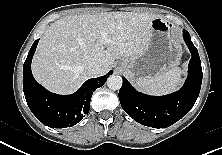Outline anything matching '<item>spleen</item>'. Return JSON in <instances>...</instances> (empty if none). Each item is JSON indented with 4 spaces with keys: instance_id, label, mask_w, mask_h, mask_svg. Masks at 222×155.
<instances>
[{
    "instance_id": "obj_1",
    "label": "spleen",
    "mask_w": 222,
    "mask_h": 155,
    "mask_svg": "<svg viewBox=\"0 0 222 155\" xmlns=\"http://www.w3.org/2000/svg\"><path fill=\"white\" fill-rule=\"evenodd\" d=\"M181 69L174 67L156 77H145L137 80V85L150 94L162 95L173 92L181 83Z\"/></svg>"
}]
</instances>
